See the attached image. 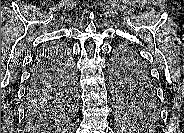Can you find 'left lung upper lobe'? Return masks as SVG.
Here are the masks:
<instances>
[{"label":"left lung upper lobe","instance_id":"obj_1","mask_svg":"<svg viewBox=\"0 0 184 133\" xmlns=\"http://www.w3.org/2000/svg\"><path fill=\"white\" fill-rule=\"evenodd\" d=\"M111 71L121 115L142 125L158 120L160 112L155 88L141 58L129 48L119 49L111 62ZM138 81L150 86L154 92L138 94L134 88Z\"/></svg>","mask_w":184,"mask_h":133}]
</instances>
